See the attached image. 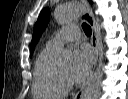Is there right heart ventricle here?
Here are the masks:
<instances>
[{"mask_svg":"<svg viewBox=\"0 0 128 99\" xmlns=\"http://www.w3.org/2000/svg\"><path fill=\"white\" fill-rule=\"evenodd\" d=\"M54 51L46 46L36 59L32 85L35 99H61L66 95V88L60 81L58 67L54 63Z\"/></svg>","mask_w":128,"mask_h":99,"instance_id":"e07e8e85","label":"right heart ventricle"}]
</instances>
